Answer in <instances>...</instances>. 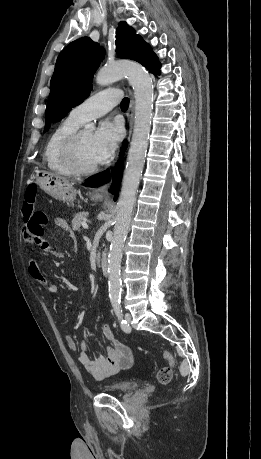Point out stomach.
<instances>
[{"label":"stomach","mask_w":261,"mask_h":459,"mask_svg":"<svg viewBox=\"0 0 261 459\" xmlns=\"http://www.w3.org/2000/svg\"><path fill=\"white\" fill-rule=\"evenodd\" d=\"M37 185L51 197L64 202L76 198V190L64 177L47 171H37L35 174ZM92 200L101 201L102 198L93 196Z\"/></svg>","instance_id":"stomach-1"}]
</instances>
